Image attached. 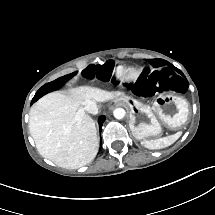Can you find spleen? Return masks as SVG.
Returning a JSON list of instances; mask_svg holds the SVG:
<instances>
[{
	"label": "spleen",
	"mask_w": 215,
	"mask_h": 215,
	"mask_svg": "<svg viewBox=\"0 0 215 215\" xmlns=\"http://www.w3.org/2000/svg\"><path fill=\"white\" fill-rule=\"evenodd\" d=\"M182 132L179 131L173 135L167 136V137H163V138H159V139H155V140H144L141 142V144L148 148V149H162L165 147H168L170 145H172L174 142H176L178 140V138L181 136Z\"/></svg>",
	"instance_id": "3e777b00"
}]
</instances>
